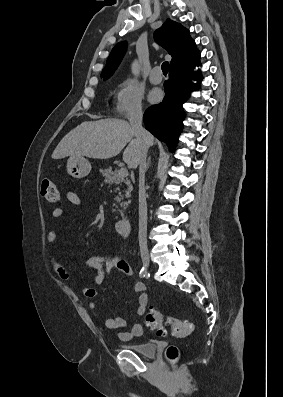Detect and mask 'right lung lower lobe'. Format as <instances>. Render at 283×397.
<instances>
[{"label":"right lung lower lobe","mask_w":283,"mask_h":397,"mask_svg":"<svg viewBox=\"0 0 283 397\" xmlns=\"http://www.w3.org/2000/svg\"><path fill=\"white\" fill-rule=\"evenodd\" d=\"M199 58L185 64L174 66L169 70V81L165 82L163 102L153 105L144 113L145 128L156 138L165 142L170 151H174L182 128L184 113L182 104L193 89L200 86L201 72L193 71L201 63ZM191 80H196L193 84Z\"/></svg>","instance_id":"1"}]
</instances>
